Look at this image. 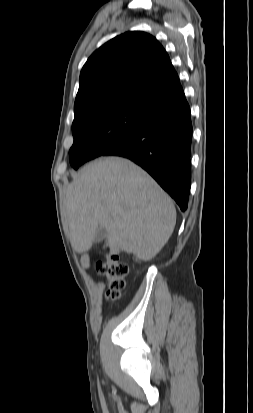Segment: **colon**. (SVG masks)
<instances>
[{"label":"colon","mask_w":253,"mask_h":413,"mask_svg":"<svg viewBox=\"0 0 253 413\" xmlns=\"http://www.w3.org/2000/svg\"><path fill=\"white\" fill-rule=\"evenodd\" d=\"M97 270L106 278V297L109 300L118 299L125 286L124 278L128 273V266L120 261L117 253L110 252L104 261L97 264Z\"/></svg>","instance_id":"colon-1"}]
</instances>
